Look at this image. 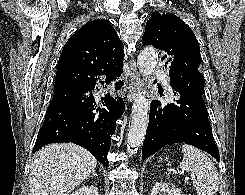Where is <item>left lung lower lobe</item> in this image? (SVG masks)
<instances>
[{"mask_svg":"<svg viewBox=\"0 0 245 195\" xmlns=\"http://www.w3.org/2000/svg\"><path fill=\"white\" fill-rule=\"evenodd\" d=\"M176 103L151 102L149 124L142 148V160L165 145L186 143L211 154L219 162L203 94L191 89L173 88Z\"/></svg>","mask_w":245,"mask_h":195,"instance_id":"left-lung-lower-lobe-1","label":"left lung lower lobe"}]
</instances>
